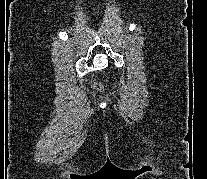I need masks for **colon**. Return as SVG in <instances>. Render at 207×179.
<instances>
[{"mask_svg":"<svg viewBox=\"0 0 207 179\" xmlns=\"http://www.w3.org/2000/svg\"><path fill=\"white\" fill-rule=\"evenodd\" d=\"M95 87H96L97 89H101V88H102V85H101L100 83H96V84H95Z\"/></svg>","mask_w":207,"mask_h":179,"instance_id":"obj_1","label":"colon"}]
</instances>
